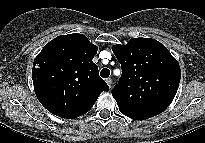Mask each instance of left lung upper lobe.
I'll return each mask as SVG.
<instances>
[{"label":"left lung upper lobe","mask_w":205,"mask_h":143,"mask_svg":"<svg viewBox=\"0 0 205 143\" xmlns=\"http://www.w3.org/2000/svg\"><path fill=\"white\" fill-rule=\"evenodd\" d=\"M112 50L122 75L112 89L119 107L167 108L174 99L181 77L180 66L168 49L154 39L133 38Z\"/></svg>","instance_id":"obj_1"}]
</instances>
